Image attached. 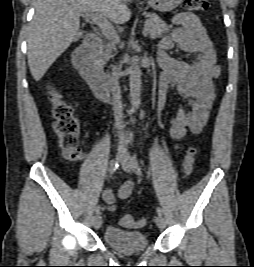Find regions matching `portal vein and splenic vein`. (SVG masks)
<instances>
[{"instance_id":"obj_1","label":"portal vein and splenic vein","mask_w":254,"mask_h":267,"mask_svg":"<svg viewBox=\"0 0 254 267\" xmlns=\"http://www.w3.org/2000/svg\"><path fill=\"white\" fill-rule=\"evenodd\" d=\"M85 16L90 18L94 23H96L107 38L115 39L116 41L119 40V37L114 27L104 15L95 12V13H86ZM146 33H147L146 29L144 28L143 35L146 36Z\"/></svg>"}]
</instances>
